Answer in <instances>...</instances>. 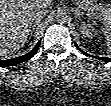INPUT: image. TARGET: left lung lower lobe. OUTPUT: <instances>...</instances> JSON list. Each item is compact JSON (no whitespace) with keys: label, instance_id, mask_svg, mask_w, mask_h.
I'll return each instance as SVG.
<instances>
[{"label":"left lung lower lobe","instance_id":"1","mask_svg":"<svg viewBox=\"0 0 111 106\" xmlns=\"http://www.w3.org/2000/svg\"><path fill=\"white\" fill-rule=\"evenodd\" d=\"M76 47L78 48V46L76 45ZM79 49V48H78ZM80 50V49H79ZM84 55L90 56L88 54H86L85 52H83L82 50H80ZM99 60H103V61H107V62H111V58H103V57H97V56H93Z\"/></svg>","mask_w":111,"mask_h":106}]
</instances>
